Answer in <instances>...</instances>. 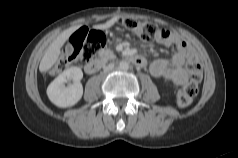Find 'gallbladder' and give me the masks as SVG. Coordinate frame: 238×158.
<instances>
[{
	"label": "gallbladder",
	"instance_id": "1",
	"mask_svg": "<svg viewBox=\"0 0 238 158\" xmlns=\"http://www.w3.org/2000/svg\"><path fill=\"white\" fill-rule=\"evenodd\" d=\"M66 51H67L68 54H71L73 52V46H72L71 43H68L66 45Z\"/></svg>",
	"mask_w": 238,
	"mask_h": 158
}]
</instances>
